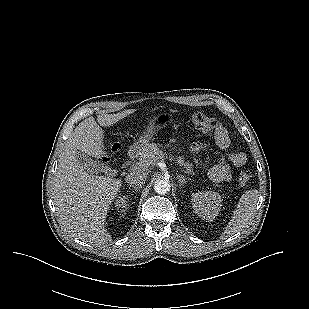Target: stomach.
Listing matches in <instances>:
<instances>
[{
  "mask_svg": "<svg viewBox=\"0 0 309 309\" xmlns=\"http://www.w3.org/2000/svg\"><path fill=\"white\" fill-rule=\"evenodd\" d=\"M170 117L168 115L158 116L150 120L145 127L143 133L139 137V140L134 144V149L141 151L155 136L162 126V123L167 121Z\"/></svg>",
  "mask_w": 309,
  "mask_h": 309,
  "instance_id": "0dacf381",
  "label": "stomach"
}]
</instances>
